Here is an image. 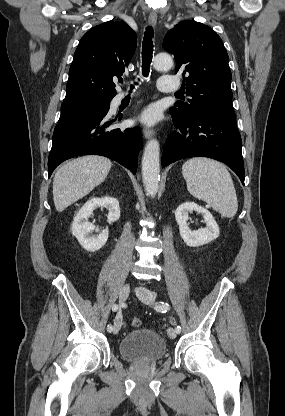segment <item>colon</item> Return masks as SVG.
<instances>
[{"label": "colon", "instance_id": "colon-1", "mask_svg": "<svg viewBox=\"0 0 285 416\" xmlns=\"http://www.w3.org/2000/svg\"><path fill=\"white\" fill-rule=\"evenodd\" d=\"M140 325H141L140 319H138V318L132 319V321H131V326L132 327H139Z\"/></svg>", "mask_w": 285, "mask_h": 416}]
</instances>
